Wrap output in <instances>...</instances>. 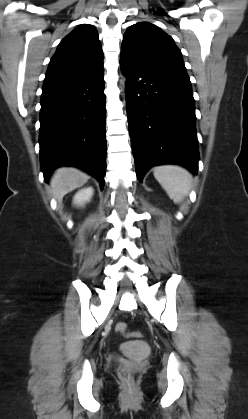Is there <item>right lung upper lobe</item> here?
Returning <instances> with one entry per match:
<instances>
[{"label":"right lung upper lobe","mask_w":248,"mask_h":419,"mask_svg":"<svg viewBox=\"0 0 248 419\" xmlns=\"http://www.w3.org/2000/svg\"><path fill=\"white\" fill-rule=\"evenodd\" d=\"M103 67V53L96 29L88 24L75 28L59 44L44 84L78 79Z\"/></svg>","instance_id":"obj_1"}]
</instances>
